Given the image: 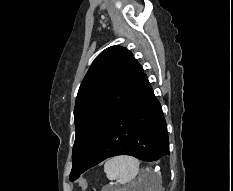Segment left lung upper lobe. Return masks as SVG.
I'll list each match as a JSON object with an SVG mask.
<instances>
[{
    "mask_svg": "<svg viewBox=\"0 0 233 191\" xmlns=\"http://www.w3.org/2000/svg\"><path fill=\"white\" fill-rule=\"evenodd\" d=\"M142 75L143 68L132 53L120 46L105 49L93 61L75 102L76 136L70 177L79 174Z\"/></svg>",
    "mask_w": 233,
    "mask_h": 191,
    "instance_id": "5c2ea615",
    "label": "left lung upper lobe"
}]
</instances>
